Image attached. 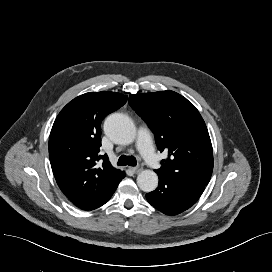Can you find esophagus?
I'll return each instance as SVG.
<instances>
[{
	"instance_id": "obj_1",
	"label": "esophagus",
	"mask_w": 272,
	"mask_h": 272,
	"mask_svg": "<svg viewBox=\"0 0 272 272\" xmlns=\"http://www.w3.org/2000/svg\"><path fill=\"white\" fill-rule=\"evenodd\" d=\"M135 174L140 173L143 170V167L141 165H138L136 167H131L130 168Z\"/></svg>"
}]
</instances>
